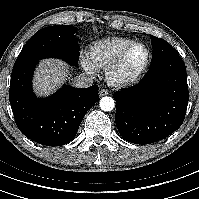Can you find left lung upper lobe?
I'll use <instances>...</instances> for the list:
<instances>
[{"label": "left lung upper lobe", "mask_w": 199, "mask_h": 199, "mask_svg": "<svg viewBox=\"0 0 199 199\" xmlns=\"http://www.w3.org/2000/svg\"><path fill=\"white\" fill-rule=\"evenodd\" d=\"M151 44L153 47L151 64L169 56L179 55L177 50L161 38L153 37Z\"/></svg>", "instance_id": "obj_1"}]
</instances>
